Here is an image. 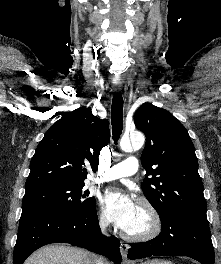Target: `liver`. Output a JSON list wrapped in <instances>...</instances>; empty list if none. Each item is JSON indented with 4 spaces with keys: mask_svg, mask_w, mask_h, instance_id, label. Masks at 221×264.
<instances>
[{
    "mask_svg": "<svg viewBox=\"0 0 221 264\" xmlns=\"http://www.w3.org/2000/svg\"><path fill=\"white\" fill-rule=\"evenodd\" d=\"M97 261L98 257L88 251L63 245H49L33 253L24 264H97Z\"/></svg>",
    "mask_w": 221,
    "mask_h": 264,
    "instance_id": "obj_1",
    "label": "liver"
}]
</instances>
